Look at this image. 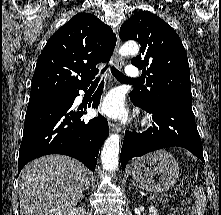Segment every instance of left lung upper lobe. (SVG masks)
I'll return each instance as SVG.
<instances>
[{"label":"left lung upper lobe","mask_w":221,"mask_h":215,"mask_svg":"<svg viewBox=\"0 0 221 215\" xmlns=\"http://www.w3.org/2000/svg\"><path fill=\"white\" fill-rule=\"evenodd\" d=\"M123 41L135 40L141 53L131 63L143 69L146 87L130 96L144 106L177 105L191 108L190 70L185 48L174 29L157 15L140 11L120 28Z\"/></svg>","instance_id":"5c2ea615"}]
</instances>
